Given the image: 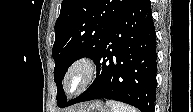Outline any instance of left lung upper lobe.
Instances as JSON below:
<instances>
[{"instance_id": "5c2ea615", "label": "left lung upper lobe", "mask_w": 193, "mask_h": 112, "mask_svg": "<svg viewBox=\"0 0 193 112\" xmlns=\"http://www.w3.org/2000/svg\"><path fill=\"white\" fill-rule=\"evenodd\" d=\"M133 0H63L55 24L52 57L57 105L67 102L62 79L77 59H95L113 24Z\"/></svg>"}]
</instances>
